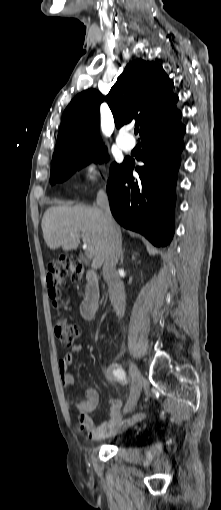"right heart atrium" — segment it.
<instances>
[{"label": "right heart atrium", "mask_w": 221, "mask_h": 510, "mask_svg": "<svg viewBox=\"0 0 221 510\" xmlns=\"http://www.w3.org/2000/svg\"><path fill=\"white\" fill-rule=\"evenodd\" d=\"M99 170L92 160H87L83 167V178L85 184H90L98 179Z\"/></svg>", "instance_id": "right-heart-atrium-1"}]
</instances>
